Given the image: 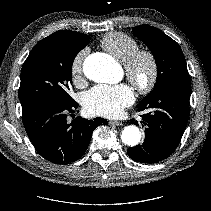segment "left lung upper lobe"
Wrapping results in <instances>:
<instances>
[{"instance_id":"left-lung-upper-lobe-1","label":"left lung upper lobe","mask_w":211,"mask_h":211,"mask_svg":"<svg viewBox=\"0 0 211 211\" xmlns=\"http://www.w3.org/2000/svg\"><path fill=\"white\" fill-rule=\"evenodd\" d=\"M132 31L153 53L157 65L155 87L143 100L156 95L170 84L191 81L185 57L176 41L149 25L134 27Z\"/></svg>"}]
</instances>
